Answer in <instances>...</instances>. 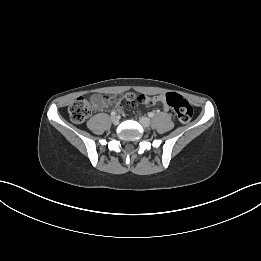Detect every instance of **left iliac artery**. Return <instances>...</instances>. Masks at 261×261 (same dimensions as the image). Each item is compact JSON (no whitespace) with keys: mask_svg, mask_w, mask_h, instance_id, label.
Instances as JSON below:
<instances>
[{"mask_svg":"<svg viewBox=\"0 0 261 261\" xmlns=\"http://www.w3.org/2000/svg\"><path fill=\"white\" fill-rule=\"evenodd\" d=\"M148 116H149V117H153V116H154V113H153V112H150V113L148 114Z\"/></svg>","mask_w":261,"mask_h":261,"instance_id":"1","label":"left iliac artery"}]
</instances>
